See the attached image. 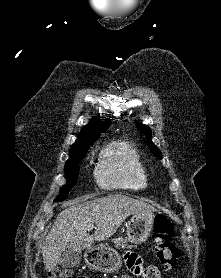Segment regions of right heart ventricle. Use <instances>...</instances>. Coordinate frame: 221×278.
Returning <instances> with one entry per match:
<instances>
[{
    "label": "right heart ventricle",
    "instance_id": "1",
    "mask_svg": "<svg viewBox=\"0 0 221 278\" xmlns=\"http://www.w3.org/2000/svg\"><path fill=\"white\" fill-rule=\"evenodd\" d=\"M104 189H123L134 192L148 187V169L139 150L127 141L112 143L105 148L95 171Z\"/></svg>",
    "mask_w": 221,
    "mask_h": 278
}]
</instances>
